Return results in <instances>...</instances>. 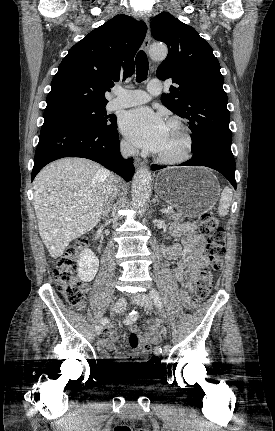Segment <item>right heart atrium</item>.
Segmentation results:
<instances>
[{
    "label": "right heart atrium",
    "instance_id": "d8ad5b80",
    "mask_svg": "<svg viewBox=\"0 0 275 431\" xmlns=\"http://www.w3.org/2000/svg\"><path fill=\"white\" fill-rule=\"evenodd\" d=\"M121 149L125 153H131L132 152V146L125 140L121 141Z\"/></svg>",
    "mask_w": 275,
    "mask_h": 431
}]
</instances>
